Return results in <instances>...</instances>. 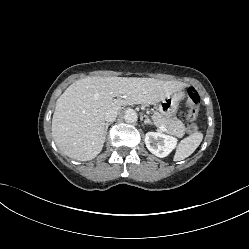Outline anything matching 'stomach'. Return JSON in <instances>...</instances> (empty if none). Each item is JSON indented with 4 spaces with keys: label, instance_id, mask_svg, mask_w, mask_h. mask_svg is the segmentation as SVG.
<instances>
[{
    "label": "stomach",
    "instance_id": "obj_1",
    "mask_svg": "<svg viewBox=\"0 0 249 249\" xmlns=\"http://www.w3.org/2000/svg\"><path fill=\"white\" fill-rule=\"evenodd\" d=\"M179 101L180 97L178 93H173L170 96L164 98L158 105L159 113L168 119L174 118L178 110Z\"/></svg>",
    "mask_w": 249,
    "mask_h": 249
}]
</instances>
